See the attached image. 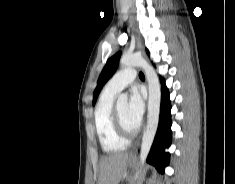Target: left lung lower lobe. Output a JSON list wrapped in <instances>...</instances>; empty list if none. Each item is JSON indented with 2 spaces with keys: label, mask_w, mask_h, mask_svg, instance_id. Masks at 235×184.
<instances>
[{
  "label": "left lung lower lobe",
  "mask_w": 235,
  "mask_h": 184,
  "mask_svg": "<svg viewBox=\"0 0 235 184\" xmlns=\"http://www.w3.org/2000/svg\"><path fill=\"white\" fill-rule=\"evenodd\" d=\"M162 86V100L158 130L151 147L147 162L156 167V169L163 173L164 168L169 164L170 154L165 152L171 144V104L169 99V92L164 84V80L160 77Z\"/></svg>",
  "instance_id": "1"
}]
</instances>
